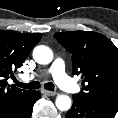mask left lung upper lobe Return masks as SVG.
Listing matches in <instances>:
<instances>
[{"label":"left lung upper lobe","mask_w":118,"mask_h":118,"mask_svg":"<svg viewBox=\"0 0 118 118\" xmlns=\"http://www.w3.org/2000/svg\"><path fill=\"white\" fill-rule=\"evenodd\" d=\"M72 54V72L81 75L83 101L118 108V48L102 34L91 31L55 33Z\"/></svg>","instance_id":"obj_1"}]
</instances>
